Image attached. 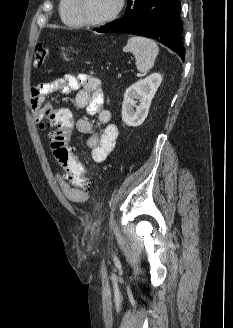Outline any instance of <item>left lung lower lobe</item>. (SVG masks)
Wrapping results in <instances>:
<instances>
[{
  "label": "left lung lower lobe",
  "instance_id": "1",
  "mask_svg": "<svg viewBox=\"0 0 233 328\" xmlns=\"http://www.w3.org/2000/svg\"><path fill=\"white\" fill-rule=\"evenodd\" d=\"M124 16L98 28L99 33H127L153 38L184 61L180 0H127Z\"/></svg>",
  "mask_w": 233,
  "mask_h": 328
}]
</instances>
